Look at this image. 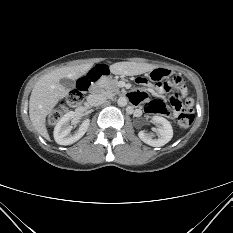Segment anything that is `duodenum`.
Masks as SVG:
<instances>
[{"mask_svg": "<svg viewBox=\"0 0 233 233\" xmlns=\"http://www.w3.org/2000/svg\"><path fill=\"white\" fill-rule=\"evenodd\" d=\"M110 71V66L107 63H99L97 67H93L90 71L85 74L84 83H93L101 74L107 75ZM101 88L94 85L88 86V92L101 93Z\"/></svg>", "mask_w": 233, "mask_h": 233, "instance_id": "410a0bca", "label": "duodenum"}]
</instances>
